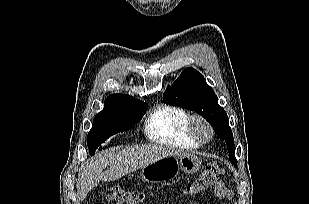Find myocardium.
<instances>
[{
  "mask_svg": "<svg viewBox=\"0 0 309 204\" xmlns=\"http://www.w3.org/2000/svg\"><path fill=\"white\" fill-rule=\"evenodd\" d=\"M200 126L206 129L207 134L205 136H202L199 133L198 129ZM187 129L190 136L199 144H206L210 142L214 136L212 125L207 121L206 118L199 114H194L189 117Z\"/></svg>",
  "mask_w": 309,
  "mask_h": 204,
  "instance_id": "obj_1",
  "label": "myocardium"
}]
</instances>
